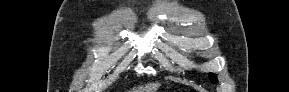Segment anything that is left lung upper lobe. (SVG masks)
<instances>
[{
  "instance_id": "left-lung-upper-lobe-1",
  "label": "left lung upper lobe",
  "mask_w": 289,
  "mask_h": 92,
  "mask_svg": "<svg viewBox=\"0 0 289 92\" xmlns=\"http://www.w3.org/2000/svg\"><path fill=\"white\" fill-rule=\"evenodd\" d=\"M209 78H210V80L213 82V83H216L217 82V78H216V76L214 75V74H209Z\"/></svg>"
}]
</instances>
